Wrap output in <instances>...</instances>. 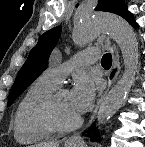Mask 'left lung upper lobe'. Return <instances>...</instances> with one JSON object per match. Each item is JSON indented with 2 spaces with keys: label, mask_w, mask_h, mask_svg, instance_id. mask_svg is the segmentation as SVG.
<instances>
[{
  "label": "left lung upper lobe",
  "mask_w": 145,
  "mask_h": 147,
  "mask_svg": "<svg viewBox=\"0 0 145 147\" xmlns=\"http://www.w3.org/2000/svg\"><path fill=\"white\" fill-rule=\"evenodd\" d=\"M95 10L111 12L123 17L127 6L123 0H98ZM60 33L61 27H55L40 36L15 79L10 90L8 106L48 67L49 55L56 46Z\"/></svg>",
  "instance_id": "obj_1"
}]
</instances>
